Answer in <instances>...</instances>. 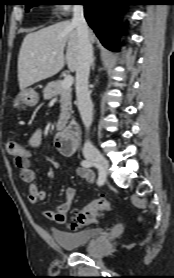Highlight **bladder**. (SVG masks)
Here are the masks:
<instances>
[{"instance_id":"bladder-1","label":"bladder","mask_w":174,"mask_h":278,"mask_svg":"<svg viewBox=\"0 0 174 278\" xmlns=\"http://www.w3.org/2000/svg\"><path fill=\"white\" fill-rule=\"evenodd\" d=\"M101 234V228H88L77 232L52 231V237L55 243L65 250H73L87 246L96 241Z\"/></svg>"}]
</instances>
